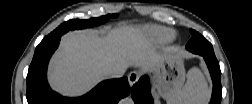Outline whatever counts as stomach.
Returning <instances> with one entry per match:
<instances>
[{
    "mask_svg": "<svg viewBox=\"0 0 252 104\" xmlns=\"http://www.w3.org/2000/svg\"><path fill=\"white\" fill-rule=\"evenodd\" d=\"M153 72L159 93L172 102L186 78L182 53L173 51L164 54Z\"/></svg>",
    "mask_w": 252,
    "mask_h": 104,
    "instance_id": "stomach-1",
    "label": "stomach"
}]
</instances>
